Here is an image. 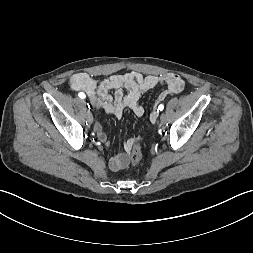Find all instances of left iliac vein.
Returning a JSON list of instances; mask_svg holds the SVG:
<instances>
[{
	"instance_id": "1",
	"label": "left iliac vein",
	"mask_w": 253,
	"mask_h": 253,
	"mask_svg": "<svg viewBox=\"0 0 253 253\" xmlns=\"http://www.w3.org/2000/svg\"><path fill=\"white\" fill-rule=\"evenodd\" d=\"M160 121H161L162 123H165V122L167 121V116H166L165 114H162V115L160 116Z\"/></svg>"
}]
</instances>
